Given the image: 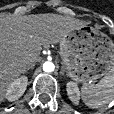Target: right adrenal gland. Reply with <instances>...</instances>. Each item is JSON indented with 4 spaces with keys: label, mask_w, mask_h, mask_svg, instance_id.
<instances>
[{
    "label": "right adrenal gland",
    "mask_w": 114,
    "mask_h": 114,
    "mask_svg": "<svg viewBox=\"0 0 114 114\" xmlns=\"http://www.w3.org/2000/svg\"><path fill=\"white\" fill-rule=\"evenodd\" d=\"M33 68H34V65H32L31 67H28V68L26 69L25 73H28V71H29V70H31V71H32V70H33Z\"/></svg>",
    "instance_id": "right-adrenal-gland-1"
}]
</instances>
